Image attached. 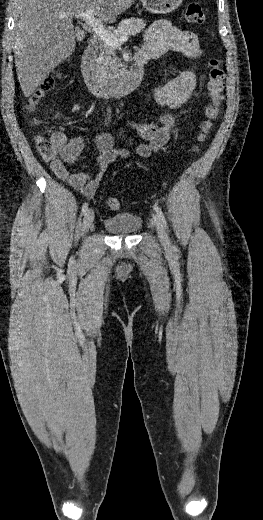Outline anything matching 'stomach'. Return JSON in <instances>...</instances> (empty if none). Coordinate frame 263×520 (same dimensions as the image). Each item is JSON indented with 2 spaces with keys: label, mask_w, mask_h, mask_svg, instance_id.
Here are the masks:
<instances>
[{
  "label": "stomach",
  "mask_w": 263,
  "mask_h": 520,
  "mask_svg": "<svg viewBox=\"0 0 263 520\" xmlns=\"http://www.w3.org/2000/svg\"><path fill=\"white\" fill-rule=\"evenodd\" d=\"M183 0H141L144 8L153 14H167L177 9Z\"/></svg>",
  "instance_id": "obj_1"
}]
</instances>
